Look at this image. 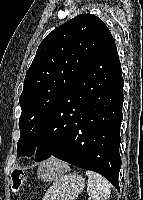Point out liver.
Returning <instances> with one entry per match:
<instances>
[{
  "label": "liver",
  "mask_w": 143,
  "mask_h": 200,
  "mask_svg": "<svg viewBox=\"0 0 143 200\" xmlns=\"http://www.w3.org/2000/svg\"><path fill=\"white\" fill-rule=\"evenodd\" d=\"M50 163L55 164L56 166L60 167L56 173L53 172L52 170H47L48 166ZM67 165L54 159L51 158L49 160H47L46 162H44L41 167L38 169L37 175L39 178L41 179H52V177H55L56 175H59L60 173L63 172L64 168H66Z\"/></svg>",
  "instance_id": "obj_1"
}]
</instances>
